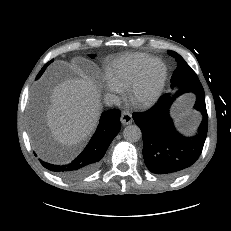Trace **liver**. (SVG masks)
Wrapping results in <instances>:
<instances>
[{
	"label": "liver",
	"mask_w": 231,
	"mask_h": 231,
	"mask_svg": "<svg viewBox=\"0 0 231 231\" xmlns=\"http://www.w3.org/2000/svg\"><path fill=\"white\" fill-rule=\"evenodd\" d=\"M46 122L56 141L74 146L87 139L95 130L101 111L98 88L88 77L68 79L54 87L50 94ZM31 135L35 149L47 156L39 123L32 119Z\"/></svg>",
	"instance_id": "1"
}]
</instances>
